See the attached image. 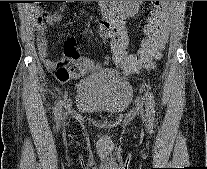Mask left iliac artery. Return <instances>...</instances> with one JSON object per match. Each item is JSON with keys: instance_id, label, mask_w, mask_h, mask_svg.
Returning a JSON list of instances; mask_svg holds the SVG:
<instances>
[{"instance_id": "obj_1", "label": "left iliac artery", "mask_w": 207, "mask_h": 169, "mask_svg": "<svg viewBox=\"0 0 207 169\" xmlns=\"http://www.w3.org/2000/svg\"><path fill=\"white\" fill-rule=\"evenodd\" d=\"M146 107H147V114L149 119L153 120L155 115L154 99H153V94L150 92L146 93Z\"/></svg>"}]
</instances>
